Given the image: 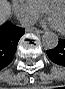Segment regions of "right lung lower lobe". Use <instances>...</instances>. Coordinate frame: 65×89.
<instances>
[{"instance_id":"right-lung-lower-lobe-1","label":"right lung lower lobe","mask_w":65,"mask_h":89,"mask_svg":"<svg viewBox=\"0 0 65 89\" xmlns=\"http://www.w3.org/2000/svg\"><path fill=\"white\" fill-rule=\"evenodd\" d=\"M24 33L25 29L11 22L0 25V70L12 62L18 41Z\"/></svg>"}]
</instances>
